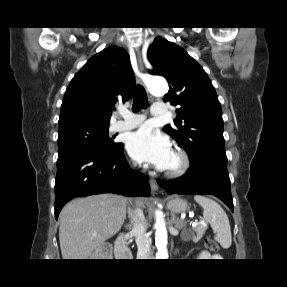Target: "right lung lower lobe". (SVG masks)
Listing matches in <instances>:
<instances>
[{
  "label": "right lung lower lobe",
  "instance_id": "right-lung-lower-lobe-1",
  "mask_svg": "<svg viewBox=\"0 0 287 287\" xmlns=\"http://www.w3.org/2000/svg\"><path fill=\"white\" fill-rule=\"evenodd\" d=\"M149 178L133 171L123 155V144L112 155L73 151L58 156L55 182V217L75 197L100 193L150 196Z\"/></svg>",
  "mask_w": 287,
  "mask_h": 287
}]
</instances>
